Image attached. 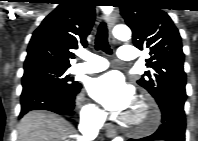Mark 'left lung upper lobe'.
<instances>
[{
    "label": "left lung upper lobe",
    "instance_id": "obj_1",
    "mask_svg": "<svg viewBox=\"0 0 198 141\" xmlns=\"http://www.w3.org/2000/svg\"><path fill=\"white\" fill-rule=\"evenodd\" d=\"M155 0H126L121 15L132 29L133 43L148 49L150 58L144 76L137 83L158 99L164 93L185 92L184 53L180 34Z\"/></svg>",
    "mask_w": 198,
    "mask_h": 141
}]
</instances>
